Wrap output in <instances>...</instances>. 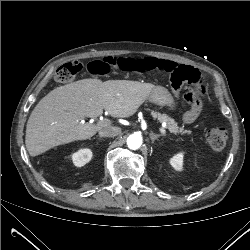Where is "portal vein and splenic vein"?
<instances>
[{"label": "portal vein and splenic vein", "mask_w": 250, "mask_h": 250, "mask_svg": "<svg viewBox=\"0 0 250 250\" xmlns=\"http://www.w3.org/2000/svg\"><path fill=\"white\" fill-rule=\"evenodd\" d=\"M109 123H110V121L109 120H107V119H105V120H102V121H100L99 122V124L100 125H103V126H107V125H109ZM160 132L162 133V134H166V131H165V129L164 128H160Z\"/></svg>", "instance_id": "18ae733b"}]
</instances>
